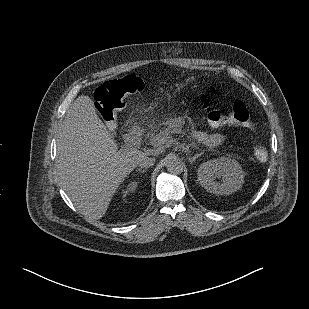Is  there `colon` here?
<instances>
[{"label":"colon","instance_id":"1","mask_svg":"<svg viewBox=\"0 0 309 309\" xmlns=\"http://www.w3.org/2000/svg\"><path fill=\"white\" fill-rule=\"evenodd\" d=\"M143 88L144 83L141 78L135 75H126L106 81L96 90L95 101L107 127L112 128L115 125L119 112L126 107L127 98L140 92ZM215 95L216 91L210 88L199 96V104L212 126L238 125L251 127V115L243 101H236L231 110L226 112L216 106ZM254 155L260 161L267 160L266 147L261 144L256 145Z\"/></svg>","mask_w":309,"mask_h":309}]
</instances>
